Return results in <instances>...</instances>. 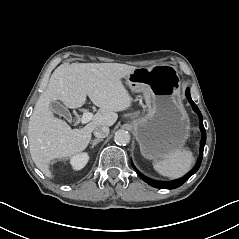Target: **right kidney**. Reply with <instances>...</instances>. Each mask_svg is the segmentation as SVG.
I'll list each match as a JSON object with an SVG mask.
<instances>
[{
	"instance_id": "ca27d5eb",
	"label": "right kidney",
	"mask_w": 239,
	"mask_h": 239,
	"mask_svg": "<svg viewBox=\"0 0 239 239\" xmlns=\"http://www.w3.org/2000/svg\"><path fill=\"white\" fill-rule=\"evenodd\" d=\"M87 160H88V156L86 154H83V155L74 157L71 163L75 167V169H81L83 168Z\"/></svg>"
}]
</instances>
